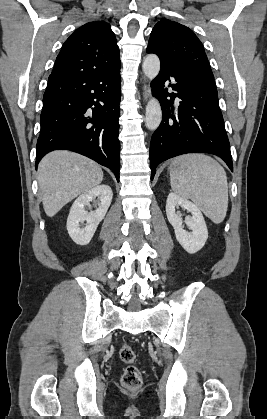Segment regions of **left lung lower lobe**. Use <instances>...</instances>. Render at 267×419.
<instances>
[{
  "mask_svg": "<svg viewBox=\"0 0 267 419\" xmlns=\"http://www.w3.org/2000/svg\"><path fill=\"white\" fill-rule=\"evenodd\" d=\"M171 78L169 87L174 92L168 93L165 85ZM151 87L163 112L162 122L150 143L151 179L161 162L194 152L215 154L233 171L214 77L191 69L161 65ZM175 97L180 99L179 105H174Z\"/></svg>",
  "mask_w": 267,
  "mask_h": 419,
  "instance_id": "obj_1",
  "label": "left lung lower lobe"
}]
</instances>
